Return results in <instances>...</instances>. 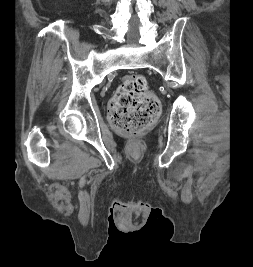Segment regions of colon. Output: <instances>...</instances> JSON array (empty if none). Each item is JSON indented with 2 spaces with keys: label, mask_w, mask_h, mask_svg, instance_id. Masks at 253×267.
Masks as SVG:
<instances>
[{
  "label": "colon",
  "mask_w": 253,
  "mask_h": 267,
  "mask_svg": "<svg viewBox=\"0 0 253 267\" xmlns=\"http://www.w3.org/2000/svg\"><path fill=\"white\" fill-rule=\"evenodd\" d=\"M110 122L121 134L136 137L154 121L160 111L158 98L148 90L141 75H129L109 104Z\"/></svg>",
  "instance_id": "1"
}]
</instances>
